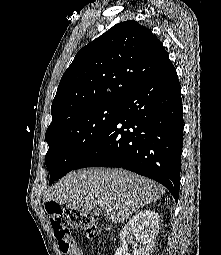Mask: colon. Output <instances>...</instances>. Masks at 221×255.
Segmentation results:
<instances>
[{"label": "colon", "mask_w": 221, "mask_h": 255, "mask_svg": "<svg viewBox=\"0 0 221 255\" xmlns=\"http://www.w3.org/2000/svg\"><path fill=\"white\" fill-rule=\"evenodd\" d=\"M51 226L59 247L65 255H81L76 242L71 236V228H79L93 236L97 231V222L93 215L62 209L57 204L48 207Z\"/></svg>", "instance_id": "colon-1"}]
</instances>
